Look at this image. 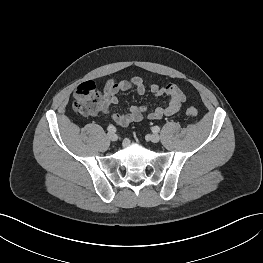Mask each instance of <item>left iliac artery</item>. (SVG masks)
Instances as JSON below:
<instances>
[{
    "mask_svg": "<svg viewBox=\"0 0 263 263\" xmlns=\"http://www.w3.org/2000/svg\"><path fill=\"white\" fill-rule=\"evenodd\" d=\"M152 131L154 133H158L160 131V127L159 126H154V127H152Z\"/></svg>",
    "mask_w": 263,
    "mask_h": 263,
    "instance_id": "obj_1",
    "label": "left iliac artery"
}]
</instances>
